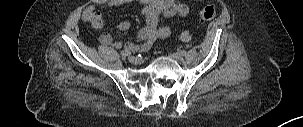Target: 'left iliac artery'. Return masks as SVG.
I'll use <instances>...</instances> for the list:
<instances>
[{
	"label": "left iliac artery",
	"instance_id": "left-iliac-artery-1",
	"mask_svg": "<svg viewBox=\"0 0 303 127\" xmlns=\"http://www.w3.org/2000/svg\"><path fill=\"white\" fill-rule=\"evenodd\" d=\"M179 54H180L181 56H186L187 52H186L185 50H181V51L179 52Z\"/></svg>",
	"mask_w": 303,
	"mask_h": 127
}]
</instances>
